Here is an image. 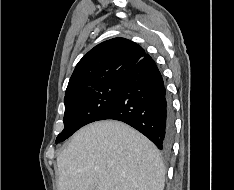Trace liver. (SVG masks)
<instances>
[{
  "label": "liver",
  "mask_w": 234,
  "mask_h": 190,
  "mask_svg": "<svg viewBox=\"0 0 234 190\" xmlns=\"http://www.w3.org/2000/svg\"><path fill=\"white\" fill-rule=\"evenodd\" d=\"M58 190H163L155 145L127 124L106 120L75 133L57 158Z\"/></svg>",
  "instance_id": "1"
}]
</instances>
